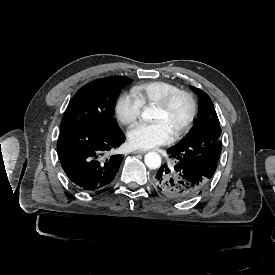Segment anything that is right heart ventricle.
Returning <instances> with one entry per match:
<instances>
[{
    "mask_svg": "<svg viewBox=\"0 0 275 275\" xmlns=\"http://www.w3.org/2000/svg\"><path fill=\"white\" fill-rule=\"evenodd\" d=\"M177 87L163 80H149L136 85L133 89L135 95L144 105H154Z\"/></svg>",
    "mask_w": 275,
    "mask_h": 275,
    "instance_id": "e07e8e85",
    "label": "right heart ventricle"
}]
</instances>
